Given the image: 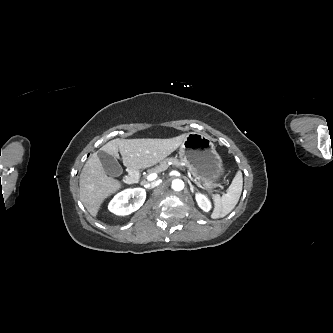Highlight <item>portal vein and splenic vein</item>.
Instances as JSON below:
<instances>
[{
  "label": "portal vein and splenic vein",
  "instance_id": "obj_1",
  "mask_svg": "<svg viewBox=\"0 0 333 333\" xmlns=\"http://www.w3.org/2000/svg\"><path fill=\"white\" fill-rule=\"evenodd\" d=\"M157 178V173H151L149 174L146 179L147 181H154ZM190 179L200 188H202V185L200 183H198L195 179H193L192 177H190Z\"/></svg>",
  "mask_w": 333,
  "mask_h": 333
}]
</instances>
